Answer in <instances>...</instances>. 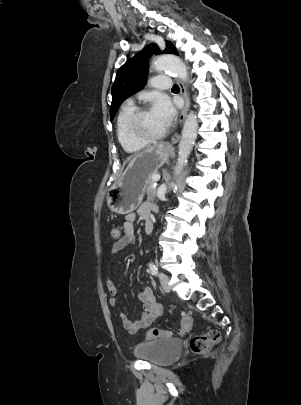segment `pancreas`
<instances>
[{"label":"pancreas","mask_w":301,"mask_h":405,"mask_svg":"<svg viewBox=\"0 0 301 405\" xmlns=\"http://www.w3.org/2000/svg\"><path fill=\"white\" fill-rule=\"evenodd\" d=\"M154 175L155 174L152 175L151 181H150V183H149V185L147 186V189H146L147 199L149 201H155L156 200V190L157 189L155 187H153V183L155 182V181H153V176Z\"/></svg>","instance_id":"pancreas-1"}]
</instances>
